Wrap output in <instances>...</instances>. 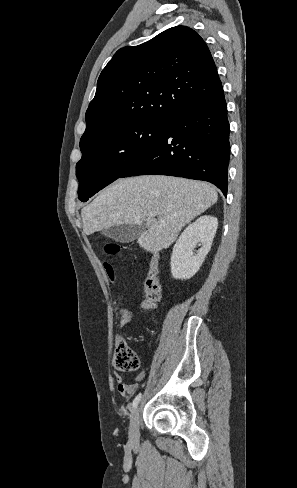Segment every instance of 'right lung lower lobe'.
Returning <instances> with one entry per match:
<instances>
[{"instance_id": "98d812e1", "label": "right lung lower lobe", "mask_w": 297, "mask_h": 488, "mask_svg": "<svg viewBox=\"0 0 297 488\" xmlns=\"http://www.w3.org/2000/svg\"><path fill=\"white\" fill-rule=\"evenodd\" d=\"M230 157L227 105L222 87L181 110L155 143L123 174L169 175L208 181L226 197Z\"/></svg>"}]
</instances>
